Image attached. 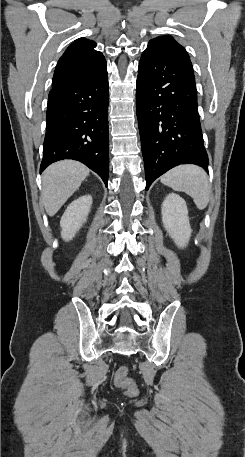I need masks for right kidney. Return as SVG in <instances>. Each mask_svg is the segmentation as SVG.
I'll return each instance as SVG.
<instances>
[{"mask_svg": "<svg viewBox=\"0 0 245 457\" xmlns=\"http://www.w3.org/2000/svg\"><path fill=\"white\" fill-rule=\"evenodd\" d=\"M91 204V194H84V196H79L76 200H72L67 206L60 220L61 237L64 241H72L77 231L81 229L91 210Z\"/></svg>", "mask_w": 245, "mask_h": 457, "instance_id": "ca27d5eb", "label": "right kidney"}]
</instances>
